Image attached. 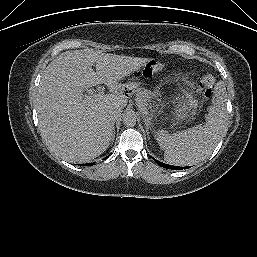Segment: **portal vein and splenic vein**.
Masks as SVG:
<instances>
[{
    "label": "portal vein and splenic vein",
    "instance_id": "18ae733b",
    "mask_svg": "<svg viewBox=\"0 0 257 257\" xmlns=\"http://www.w3.org/2000/svg\"><path fill=\"white\" fill-rule=\"evenodd\" d=\"M104 95L100 92V93H97V94H91V95H85V99L86 100H91V101H94V100H98V99H100V98H102ZM142 111H143V113L144 114H148V112H147V110L146 109H142V108H140Z\"/></svg>",
    "mask_w": 257,
    "mask_h": 257
}]
</instances>
